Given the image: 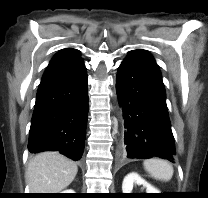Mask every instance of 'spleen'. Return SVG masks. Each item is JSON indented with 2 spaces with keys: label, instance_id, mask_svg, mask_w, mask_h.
I'll list each match as a JSON object with an SVG mask.
<instances>
[{
  "label": "spleen",
  "instance_id": "1",
  "mask_svg": "<svg viewBox=\"0 0 208 198\" xmlns=\"http://www.w3.org/2000/svg\"><path fill=\"white\" fill-rule=\"evenodd\" d=\"M145 170L156 180L169 181L173 176V167L162 159H147L143 163Z\"/></svg>",
  "mask_w": 208,
  "mask_h": 198
}]
</instances>
